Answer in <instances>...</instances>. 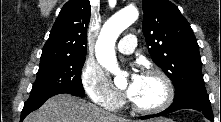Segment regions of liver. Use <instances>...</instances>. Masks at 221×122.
<instances>
[{"label": "liver", "instance_id": "1", "mask_svg": "<svg viewBox=\"0 0 221 122\" xmlns=\"http://www.w3.org/2000/svg\"><path fill=\"white\" fill-rule=\"evenodd\" d=\"M24 122H132L113 115L84 99L69 94L49 98Z\"/></svg>", "mask_w": 221, "mask_h": 122}]
</instances>
